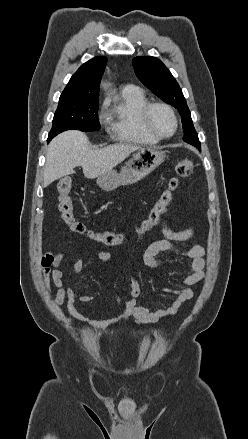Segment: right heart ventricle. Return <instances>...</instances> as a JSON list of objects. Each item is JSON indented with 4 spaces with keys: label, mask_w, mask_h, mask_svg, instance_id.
<instances>
[{
    "label": "right heart ventricle",
    "mask_w": 248,
    "mask_h": 439,
    "mask_svg": "<svg viewBox=\"0 0 248 439\" xmlns=\"http://www.w3.org/2000/svg\"><path fill=\"white\" fill-rule=\"evenodd\" d=\"M148 102L140 88L121 92L108 114L109 131L116 140L137 145H155L160 141L148 132L142 122V110Z\"/></svg>",
    "instance_id": "e07e8e85"
}]
</instances>
